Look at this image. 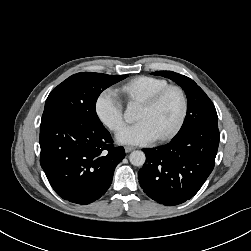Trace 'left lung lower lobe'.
Listing matches in <instances>:
<instances>
[{"mask_svg": "<svg viewBox=\"0 0 251 251\" xmlns=\"http://www.w3.org/2000/svg\"><path fill=\"white\" fill-rule=\"evenodd\" d=\"M219 130L201 127L175 136L168 144L146 148V162L138 173L143 191L166 206L191 199L215 164Z\"/></svg>", "mask_w": 251, "mask_h": 251, "instance_id": "1", "label": "left lung lower lobe"}]
</instances>
